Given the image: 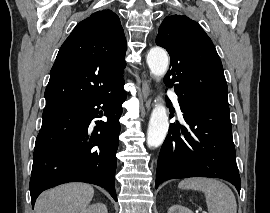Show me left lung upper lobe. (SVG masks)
I'll list each match as a JSON object with an SVG mask.
<instances>
[{
  "label": "left lung upper lobe",
  "instance_id": "obj_1",
  "mask_svg": "<svg viewBox=\"0 0 270 213\" xmlns=\"http://www.w3.org/2000/svg\"><path fill=\"white\" fill-rule=\"evenodd\" d=\"M156 44L170 55V69L164 78L169 88L199 102L229 108L221 60L197 22L183 15L166 17L159 27Z\"/></svg>",
  "mask_w": 270,
  "mask_h": 213
}]
</instances>
